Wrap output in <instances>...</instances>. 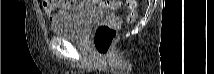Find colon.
<instances>
[{"mask_svg": "<svg viewBox=\"0 0 214 74\" xmlns=\"http://www.w3.org/2000/svg\"><path fill=\"white\" fill-rule=\"evenodd\" d=\"M108 9L117 10L119 9L121 2L119 1H104L103 2ZM129 8V12L126 16L127 22H133L138 15V1L128 0L126 1ZM122 20L119 18L113 19L112 21L103 23L98 26L93 36V44L99 54L107 56L110 52L112 42L116 36L118 28L121 26Z\"/></svg>", "mask_w": 214, "mask_h": 74, "instance_id": "1", "label": "colon"}]
</instances>
